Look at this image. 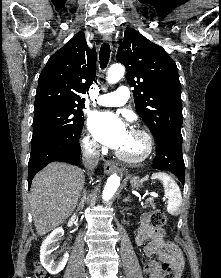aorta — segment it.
Here are the masks:
<instances>
[{"label": "aorta", "instance_id": "1", "mask_svg": "<svg viewBox=\"0 0 221 278\" xmlns=\"http://www.w3.org/2000/svg\"><path fill=\"white\" fill-rule=\"evenodd\" d=\"M125 73V68L121 64H113L107 74V81L109 84L117 83ZM120 185V177L117 174H112L106 182L103 190V200L109 201Z\"/></svg>", "mask_w": 221, "mask_h": 278}]
</instances>
